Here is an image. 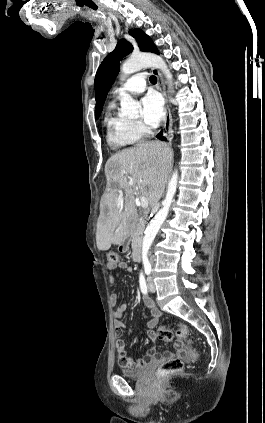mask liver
Listing matches in <instances>:
<instances>
[{
  "mask_svg": "<svg viewBox=\"0 0 265 423\" xmlns=\"http://www.w3.org/2000/svg\"><path fill=\"white\" fill-rule=\"evenodd\" d=\"M172 160L171 149L159 141L146 142L123 149L109 158L105 165L107 184L114 186L100 205L96 244L101 251L119 244L127 233L126 213L119 209L123 201L127 212L134 211V194L145 196L150 206L162 196ZM132 182V185L129 183Z\"/></svg>",
  "mask_w": 265,
  "mask_h": 423,
  "instance_id": "1",
  "label": "liver"
}]
</instances>
